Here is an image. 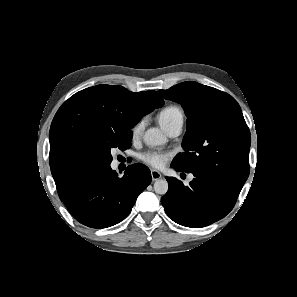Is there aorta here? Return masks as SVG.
I'll list each match as a JSON object with an SVG mask.
<instances>
[{
	"instance_id": "1",
	"label": "aorta",
	"mask_w": 297,
	"mask_h": 297,
	"mask_svg": "<svg viewBox=\"0 0 297 297\" xmlns=\"http://www.w3.org/2000/svg\"><path fill=\"white\" fill-rule=\"evenodd\" d=\"M147 146L155 147L164 145L167 142L166 136L158 128L148 129L143 136ZM154 191L157 194L164 195L168 191V182L164 179H158L154 183Z\"/></svg>"
}]
</instances>
